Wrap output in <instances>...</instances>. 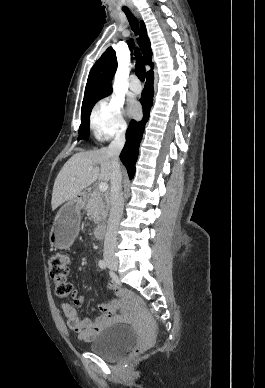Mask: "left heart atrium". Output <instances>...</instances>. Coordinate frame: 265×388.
<instances>
[{
    "label": "left heart atrium",
    "instance_id": "left-heart-atrium-1",
    "mask_svg": "<svg viewBox=\"0 0 265 388\" xmlns=\"http://www.w3.org/2000/svg\"><path fill=\"white\" fill-rule=\"evenodd\" d=\"M129 113L132 116H138L140 113L139 104L136 101H132L129 105Z\"/></svg>",
    "mask_w": 265,
    "mask_h": 388
}]
</instances>
